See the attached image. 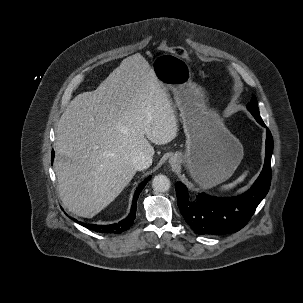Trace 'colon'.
<instances>
[{
    "label": "colon",
    "mask_w": 303,
    "mask_h": 303,
    "mask_svg": "<svg viewBox=\"0 0 303 303\" xmlns=\"http://www.w3.org/2000/svg\"><path fill=\"white\" fill-rule=\"evenodd\" d=\"M158 49L162 52H169L172 54H175L179 57L182 58H187V53L184 49L180 48V47H175V46H169L167 44L166 40H162L159 45H158Z\"/></svg>",
    "instance_id": "obj_1"
}]
</instances>
